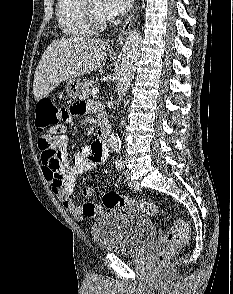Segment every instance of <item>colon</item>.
Instances as JSON below:
<instances>
[{
    "label": "colon",
    "mask_w": 233,
    "mask_h": 294,
    "mask_svg": "<svg viewBox=\"0 0 233 294\" xmlns=\"http://www.w3.org/2000/svg\"><path fill=\"white\" fill-rule=\"evenodd\" d=\"M60 114V108L50 99H42L37 103L35 126L40 133L39 145L41 147L49 148L54 142L55 134L63 130L62 125H56V120H62ZM102 206L107 209L129 207L150 216L165 214L155 203L129 199L114 192L106 193L103 196L102 205L87 204L85 212L87 214L98 213ZM189 237L190 227L188 222L182 218L175 219L167 234L165 244L158 252V262L164 263L176 249L188 242Z\"/></svg>",
    "instance_id": "obj_1"
}]
</instances>
